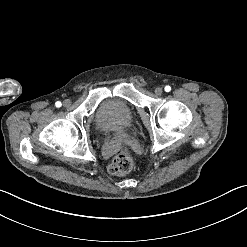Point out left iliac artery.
<instances>
[{
	"instance_id": "1",
	"label": "left iliac artery",
	"mask_w": 247,
	"mask_h": 247,
	"mask_svg": "<svg viewBox=\"0 0 247 247\" xmlns=\"http://www.w3.org/2000/svg\"><path fill=\"white\" fill-rule=\"evenodd\" d=\"M164 89H165L166 92H169L171 90V87L170 86H166Z\"/></svg>"
}]
</instances>
